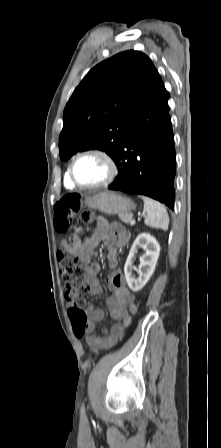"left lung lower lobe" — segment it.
Returning <instances> with one entry per match:
<instances>
[{
  "label": "left lung lower lobe",
  "mask_w": 221,
  "mask_h": 448,
  "mask_svg": "<svg viewBox=\"0 0 221 448\" xmlns=\"http://www.w3.org/2000/svg\"><path fill=\"white\" fill-rule=\"evenodd\" d=\"M169 96L165 90L155 98L125 134L114 159L118 176L109 189L146 195L173 209L176 155Z\"/></svg>",
  "instance_id": "left-lung-lower-lobe-1"
}]
</instances>
